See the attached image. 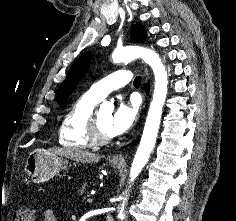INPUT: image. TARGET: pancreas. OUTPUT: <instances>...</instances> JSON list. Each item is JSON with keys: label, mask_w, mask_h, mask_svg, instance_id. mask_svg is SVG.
Instances as JSON below:
<instances>
[{"label": "pancreas", "mask_w": 236, "mask_h": 221, "mask_svg": "<svg viewBox=\"0 0 236 221\" xmlns=\"http://www.w3.org/2000/svg\"><path fill=\"white\" fill-rule=\"evenodd\" d=\"M84 191H85V188H84V187H82L81 189H79V190H78V193L81 195V194H83V193H84Z\"/></svg>", "instance_id": "obj_1"}]
</instances>
